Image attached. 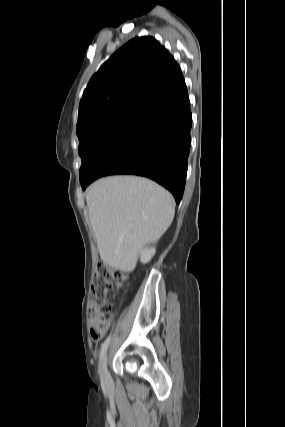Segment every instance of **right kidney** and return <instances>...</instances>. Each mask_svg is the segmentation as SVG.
<instances>
[{
	"label": "right kidney",
	"mask_w": 285,
	"mask_h": 427,
	"mask_svg": "<svg viewBox=\"0 0 285 427\" xmlns=\"http://www.w3.org/2000/svg\"><path fill=\"white\" fill-rule=\"evenodd\" d=\"M155 252H156V250L154 247L146 248V249L142 250L140 252L141 262L144 264L148 263L151 260V258L155 255Z\"/></svg>",
	"instance_id": "obj_1"
}]
</instances>
